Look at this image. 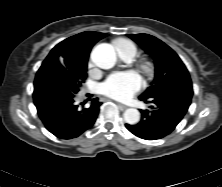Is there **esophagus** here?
Segmentation results:
<instances>
[{"label":"esophagus","mask_w":222,"mask_h":187,"mask_svg":"<svg viewBox=\"0 0 222 187\" xmlns=\"http://www.w3.org/2000/svg\"><path fill=\"white\" fill-rule=\"evenodd\" d=\"M118 106H120L122 109H127V106L126 105H123L121 103H118Z\"/></svg>","instance_id":"esophagus-1"}]
</instances>
